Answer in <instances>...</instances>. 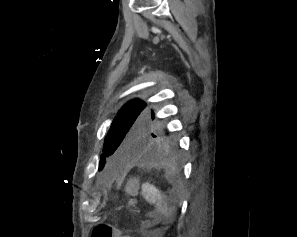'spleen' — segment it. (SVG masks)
<instances>
[{
	"label": "spleen",
	"mask_w": 297,
	"mask_h": 237,
	"mask_svg": "<svg viewBox=\"0 0 297 237\" xmlns=\"http://www.w3.org/2000/svg\"><path fill=\"white\" fill-rule=\"evenodd\" d=\"M142 194L148 202L156 204L158 213L169 220L172 218L173 212L168 207L166 196L161 191L153 185L145 183L142 185Z\"/></svg>",
	"instance_id": "1"
}]
</instances>
